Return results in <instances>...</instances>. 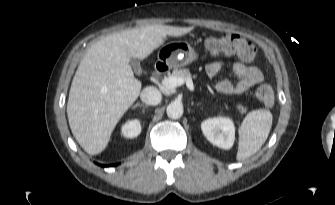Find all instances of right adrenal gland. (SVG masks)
I'll list each match as a JSON object with an SVG mask.
<instances>
[{
	"mask_svg": "<svg viewBox=\"0 0 335 205\" xmlns=\"http://www.w3.org/2000/svg\"><path fill=\"white\" fill-rule=\"evenodd\" d=\"M136 107H143V108H147V105H144V104H141V103H136L133 108H136Z\"/></svg>",
	"mask_w": 335,
	"mask_h": 205,
	"instance_id": "right-adrenal-gland-1",
	"label": "right adrenal gland"
}]
</instances>
